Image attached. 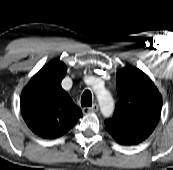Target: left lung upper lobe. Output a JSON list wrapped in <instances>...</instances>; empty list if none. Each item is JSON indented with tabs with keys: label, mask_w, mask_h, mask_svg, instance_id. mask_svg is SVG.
Here are the masks:
<instances>
[{
	"label": "left lung upper lobe",
	"mask_w": 173,
	"mask_h": 170,
	"mask_svg": "<svg viewBox=\"0 0 173 170\" xmlns=\"http://www.w3.org/2000/svg\"><path fill=\"white\" fill-rule=\"evenodd\" d=\"M119 102L112 118L105 120L111 136L122 145L144 141L161 114L162 96L149 77L136 67L117 72Z\"/></svg>",
	"instance_id": "obj_1"
}]
</instances>
